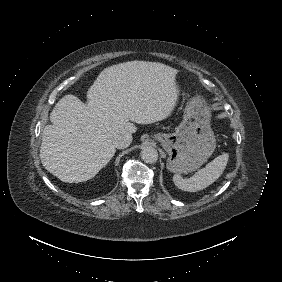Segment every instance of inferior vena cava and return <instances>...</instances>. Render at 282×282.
<instances>
[{
	"instance_id": "inferior-vena-cava-1",
	"label": "inferior vena cava",
	"mask_w": 282,
	"mask_h": 282,
	"mask_svg": "<svg viewBox=\"0 0 282 282\" xmlns=\"http://www.w3.org/2000/svg\"><path fill=\"white\" fill-rule=\"evenodd\" d=\"M113 146L117 149H124L131 143V134L123 133L116 135L112 140Z\"/></svg>"
}]
</instances>
